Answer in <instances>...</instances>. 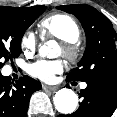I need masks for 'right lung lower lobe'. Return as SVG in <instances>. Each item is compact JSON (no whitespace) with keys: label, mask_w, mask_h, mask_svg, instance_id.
I'll return each mask as SVG.
<instances>
[{"label":"right lung lower lobe","mask_w":117,"mask_h":117,"mask_svg":"<svg viewBox=\"0 0 117 117\" xmlns=\"http://www.w3.org/2000/svg\"><path fill=\"white\" fill-rule=\"evenodd\" d=\"M40 89L41 84L29 76L14 83L0 72V117H25L32 93Z\"/></svg>","instance_id":"1"}]
</instances>
